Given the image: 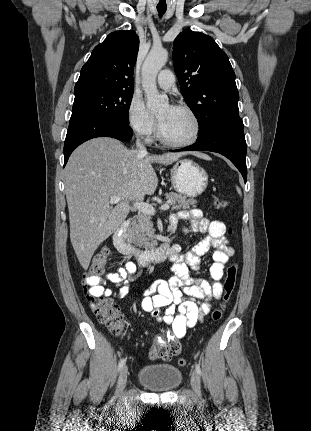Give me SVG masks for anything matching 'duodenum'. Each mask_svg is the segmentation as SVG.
<instances>
[{"label": "duodenum", "instance_id": "duodenum-1", "mask_svg": "<svg viewBox=\"0 0 311 431\" xmlns=\"http://www.w3.org/2000/svg\"><path fill=\"white\" fill-rule=\"evenodd\" d=\"M129 225V219L122 221L113 234V244L119 252L132 257L140 265L160 263L167 257H170L172 246L168 241L149 249H139L136 247L127 238Z\"/></svg>", "mask_w": 311, "mask_h": 431}]
</instances>
